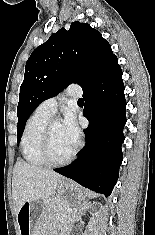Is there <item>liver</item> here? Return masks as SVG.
Segmentation results:
<instances>
[{"instance_id":"obj_1","label":"liver","mask_w":155,"mask_h":235,"mask_svg":"<svg viewBox=\"0 0 155 235\" xmlns=\"http://www.w3.org/2000/svg\"><path fill=\"white\" fill-rule=\"evenodd\" d=\"M63 177L45 168L18 160L13 169L12 197L17 215L27 201L50 200Z\"/></svg>"}]
</instances>
